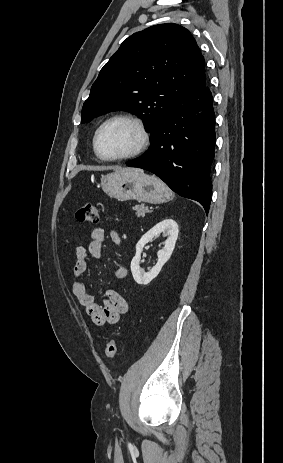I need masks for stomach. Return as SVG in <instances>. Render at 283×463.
<instances>
[{
    "label": "stomach",
    "mask_w": 283,
    "mask_h": 463,
    "mask_svg": "<svg viewBox=\"0 0 283 463\" xmlns=\"http://www.w3.org/2000/svg\"><path fill=\"white\" fill-rule=\"evenodd\" d=\"M101 186L108 196L120 201L163 203L173 197L172 191L163 181L139 169L115 171L102 176Z\"/></svg>",
    "instance_id": "obj_1"
}]
</instances>
